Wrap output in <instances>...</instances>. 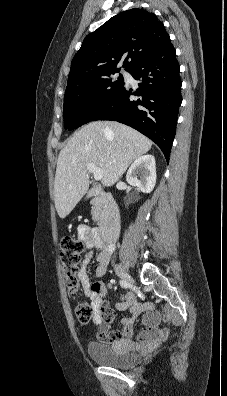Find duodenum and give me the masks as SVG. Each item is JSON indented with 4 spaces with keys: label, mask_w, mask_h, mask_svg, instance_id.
<instances>
[{
    "label": "duodenum",
    "mask_w": 227,
    "mask_h": 396,
    "mask_svg": "<svg viewBox=\"0 0 227 396\" xmlns=\"http://www.w3.org/2000/svg\"><path fill=\"white\" fill-rule=\"evenodd\" d=\"M88 197L101 207V223L96 238L103 247H110L120 232V213L112 194L93 188Z\"/></svg>",
    "instance_id": "obj_1"
}]
</instances>
